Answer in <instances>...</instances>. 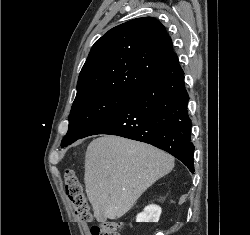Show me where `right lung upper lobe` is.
<instances>
[{"instance_id": "cb5924a9", "label": "right lung upper lobe", "mask_w": 250, "mask_h": 235, "mask_svg": "<svg viewBox=\"0 0 250 235\" xmlns=\"http://www.w3.org/2000/svg\"><path fill=\"white\" fill-rule=\"evenodd\" d=\"M175 55L157 19L142 17L118 25L91 48L75 99L94 92L134 93L165 70Z\"/></svg>"}]
</instances>
